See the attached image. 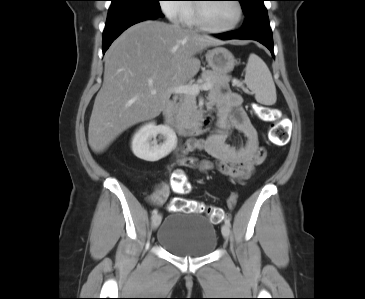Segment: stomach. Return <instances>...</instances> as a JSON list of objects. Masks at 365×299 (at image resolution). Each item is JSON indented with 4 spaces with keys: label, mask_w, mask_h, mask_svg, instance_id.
Returning <instances> with one entry per match:
<instances>
[{
    "label": "stomach",
    "mask_w": 365,
    "mask_h": 299,
    "mask_svg": "<svg viewBox=\"0 0 365 299\" xmlns=\"http://www.w3.org/2000/svg\"><path fill=\"white\" fill-rule=\"evenodd\" d=\"M206 60L213 71L224 75L230 73L235 66L233 54L223 47H216L208 50L206 53Z\"/></svg>",
    "instance_id": "stomach-1"
}]
</instances>
